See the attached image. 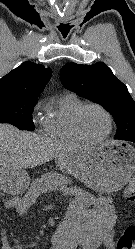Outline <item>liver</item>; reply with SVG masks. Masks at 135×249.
I'll return each mask as SVG.
<instances>
[{
    "label": "liver",
    "mask_w": 135,
    "mask_h": 249,
    "mask_svg": "<svg viewBox=\"0 0 135 249\" xmlns=\"http://www.w3.org/2000/svg\"><path fill=\"white\" fill-rule=\"evenodd\" d=\"M80 149L0 123V166L7 170L34 168Z\"/></svg>",
    "instance_id": "1"
}]
</instances>
